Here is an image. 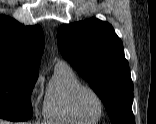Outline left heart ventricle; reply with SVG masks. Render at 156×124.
Wrapping results in <instances>:
<instances>
[{
  "instance_id": "obj_1",
  "label": "left heart ventricle",
  "mask_w": 156,
  "mask_h": 124,
  "mask_svg": "<svg viewBox=\"0 0 156 124\" xmlns=\"http://www.w3.org/2000/svg\"><path fill=\"white\" fill-rule=\"evenodd\" d=\"M79 107L88 119H95L100 113L99 101L91 93L84 92L79 98Z\"/></svg>"
}]
</instances>
